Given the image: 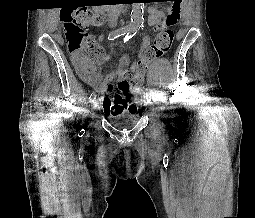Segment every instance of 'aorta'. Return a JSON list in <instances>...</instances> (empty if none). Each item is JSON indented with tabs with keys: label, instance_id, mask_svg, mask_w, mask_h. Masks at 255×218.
<instances>
[{
	"label": "aorta",
	"instance_id": "obj_1",
	"mask_svg": "<svg viewBox=\"0 0 255 218\" xmlns=\"http://www.w3.org/2000/svg\"><path fill=\"white\" fill-rule=\"evenodd\" d=\"M143 23V3H133L131 12V23L128 25L130 31H137Z\"/></svg>",
	"mask_w": 255,
	"mask_h": 218
}]
</instances>
